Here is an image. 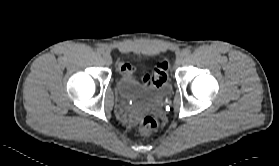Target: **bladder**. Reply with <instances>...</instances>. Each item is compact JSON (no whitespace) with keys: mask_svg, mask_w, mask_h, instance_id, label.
I'll use <instances>...</instances> for the list:
<instances>
[{"mask_svg":"<svg viewBox=\"0 0 279 166\" xmlns=\"http://www.w3.org/2000/svg\"><path fill=\"white\" fill-rule=\"evenodd\" d=\"M118 87L121 94L126 99L142 98L144 94V86L137 78V69L133 68L131 72L121 75L118 81ZM169 90L168 83L161 87V95H164Z\"/></svg>","mask_w":279,"mask_h":166,"instance_id":"31cf9c89","label":"bladder"}]
</instances>
